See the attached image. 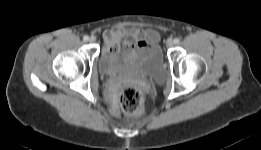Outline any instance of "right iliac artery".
Here are the masks:
<instances>
[{"label":"right iliac artery","mask_w":261,"mask_h":150,"mask_svg":"<svg viewBox=\"0 0 261 150\" xmlns=\"http://www.w3.org/2000/svg\"><path fill=\"white\" fill-rule=\"evenodd\" d=\"M83 40H84V41H88V40H89V37H88L87 35H85V36L83 37Z\"/></svg>","instance_id":"82829eb1"}]
</instances>
